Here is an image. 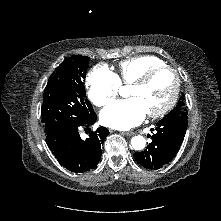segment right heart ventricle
Instances as JSON below:
<instances>
[{"instance_id": "right-heart-ventricle-1", "label": "right heart ventricle", "mask_w": 221, "mask_h": 221, "mask_svg": "<svg viewBox=\"0 0 221 221\" xmlns=\"http://www.w3.org/2000/svg\"><path fill=\"white\" fill-rule=\"evenodd\" d=\"M164 65L158 57L152 55H141L128 58L119 62L115 73L120 84L130 85L147 70Z\"/></svg>"}]
</instances>
